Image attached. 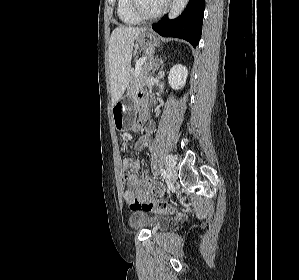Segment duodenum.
Masks as SVG:
<instances>
[{
  "instance_id": "410a0bca",
  "label": "duodenum",
  "mask_w": 299,
  "mask_h": 280,
  "mask_svg": "<svg viewBox=\"0 0 299 280\" xmlns=\"http://www.w3.org/2000/svg\"><path fill=\"white\" fill-rule=\"evenodd\" d=\"M139 107L142 111H146V104L144 103V101L142 99H140Z\"/></svg>"
}]
</instances>
